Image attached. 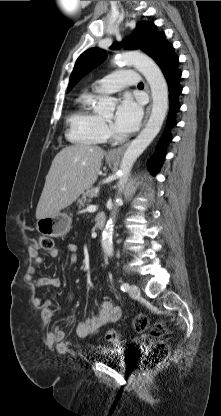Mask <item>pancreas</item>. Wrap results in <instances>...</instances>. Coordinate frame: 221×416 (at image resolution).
Listing matches in <instances>:
<instances>
[{
	"label": "pancreas",
	"instance_id": "1",
	"mask_svg": "<svg viewBox=\"0 0 221 416\" xmlns=\"http://www.w3.org/2000/svg\"><path fill=\"white\" fill-rule=\"evenodd\" d=\"M96 196H97V192L95 188L93 187L88 188L86 192L83 193L81 199L78 200L79 208L84 207L85 205L90 203L91 199Z\"/></svg>",
	"mask_w": 221,
	"mask_h": 416
}]
</instances>
